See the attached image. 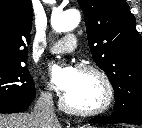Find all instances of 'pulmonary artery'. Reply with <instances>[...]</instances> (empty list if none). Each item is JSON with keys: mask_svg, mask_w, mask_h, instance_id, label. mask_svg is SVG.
Returning <instances> with one entry per match:
<instances>
[{"mask_svg": "<svg viewBox=\"0 0 142 128\" xmlns=\"http://www.w3.org/2000/svg\"><path fill=\"white\" fill-rule=\"evenodd\" d=\"M77 38L74 34L70 33L63 37L60 41L55 43L51 48L50 52L53 54L69 53L76 49Z\"/></svg>", "mask_w": 142, "mask_h": 128, "instance_id": "pulmonary-artery-1", "label": "pulmonary artery"}]
</instances>
